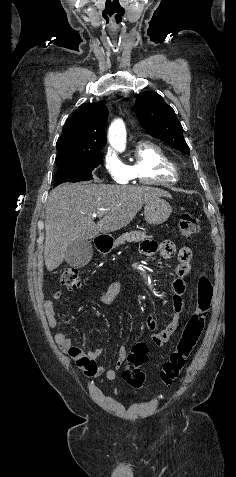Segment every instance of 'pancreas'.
<instances>
[{"label":"pancreas","mask_w":236,"mask_h":477,"mask_svg":"<svg viewBox=\"0 0 236 477\" xmlns=\"http://www.w3.org/2000/svg\"><path fill=\"white\" fill-rule=\"evenodd\" d=\"M148 238H151V236L146 235V232L142 231H131L123 234L120 236L117 240H115V246L125 244L126 242H140L144 241Z\"/></svg>","instance_id":"1"}]
</instances>
